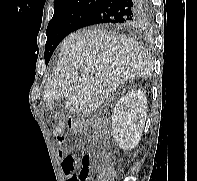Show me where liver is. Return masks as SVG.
Listing matches in <instances>:
<instances>
[{
    "label": "liver",
    "mask_w": 197,
    "mask_h": 181,
    "mask_svg": "<svg viewBox=\"0 0 197 181\" xmlns=\"http://www.w3.org/2000/svg\"><path fill=\"white\" fill-rule=\"evenodd\" d=\"M152 71L151 57L134 40L99 28L77 31L61 44L44 104L53 110L59 100L73 113H91L126 81Z\"/></svg>",
    "instance_id": "1"
}]
</instances>
